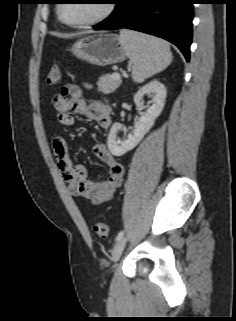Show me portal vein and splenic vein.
I'll use <instances>...</instances> for the list:
<instances>
[{"mask_svg": "<svg viewBox=\"0 0 236 321\" xmlns=\"http://www.w3.org/2000/svg\"><path fill=\"white\" fill-rule=\"evenodd\" d=\"M112 78H113V79L120 80V79H121V76H120L118 73H115V74L112 75Z\"/></svg>", "mask_w": 236, "mask_h": 321, "instance_id": "1", "label": "portal vein and splenic vein"}]
</instances>
